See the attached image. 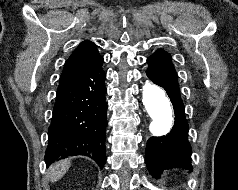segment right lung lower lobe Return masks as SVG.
I'll return each mask as SVG.
<instances>
[{
    "label": "right lung lower lobe",
    "mask_w": 238,
    "mask_h": 190,
    "mask_svg": "<svg viewBox=\"0 0 238 190\" xmlns=\"http://www.w3.org/2000/svg\"><path fill=\"white\" fill-rule=\"evenodd\" d=\"M103 61L59 83L48 129L47 165L59 158L84 155L103 168L107 124Z\"/></svg>",
    "instance_id": "obj_1"
}]
</instances>
